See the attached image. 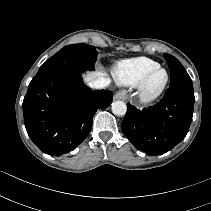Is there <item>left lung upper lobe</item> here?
Returning <instances> with one entry per match:
<instances>
[{"mask_svg": "<svg viewBox=\"0 0 211 211\" xmlns=\"http://www.w3.org/2000/svg\"><path fill=\"white\" fill-rule=\"evenodd\" d=\"M164 57L171 73L170 87L183 86L193 88L191 78L179 60L169 54H164Z\"/></svg>", "mask_w": 211, "mask_h": 211, "instance_id": "left-lung-upper-lobe-1", "label": "left lung upper lobe"}]
</instances>
